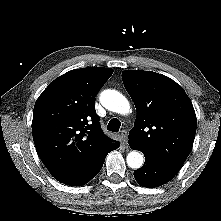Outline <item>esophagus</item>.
Listing matches in <instances>:
<instances>
[{"label":"esophagus","mask_w":221,"mask_h":221,"mask_svg":"<svg viewBox=\"0 0 221 221\" xmlns=\"http://www.w3.org/2000/svg\"><path fill=\"white\" fill-rule=\"evenodd\" d=\"M120 138L124 144V146H126L127 144V140H128V134H127V131L126 130H122L121 133H120Z\"/></svg>","instance_id":"esophagus-1"}]
</instances>
